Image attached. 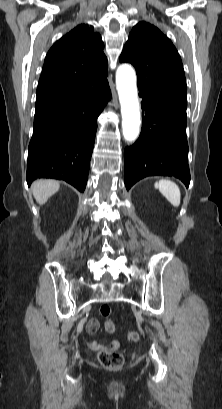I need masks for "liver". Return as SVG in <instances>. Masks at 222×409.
I'll use <instances>...</instances> for the list:
<instances>
[{
	"label": "liver",
	"mask_w": 222,
	"mask_h": 409,
	"mask_svg": "<svg viewBox=\"0 0 222 409\" xmlns=\"http://www.w3.org/2000/svg\"><path fill=\"white\" fill-rule=\"evenodd\" d=\"M60 188V184L55 180L40 179L32 184V191L35 200L43 205Z\"/></svg>",
	"instance_id": "6515ba94"
}]
</instances>
